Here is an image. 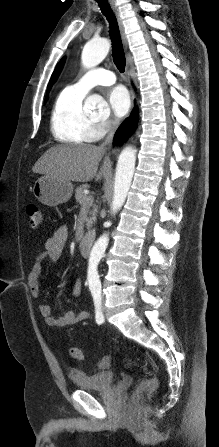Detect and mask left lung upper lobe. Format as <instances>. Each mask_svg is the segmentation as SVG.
<instances>
[{
    "mask_svg": "<svg viewBox=\"0 0 219 447\" xmlns=\"http://www.w3.org/2000/svg\"><path fill=\"white\" fill-rule=\"evenodd\" d=\"M63 63H64V59L58 64V66H57L56 69L54 70V72H53V74H52V76H51V80H50V82H49L48 89H50V86L54 83V81H55L56 78L58 77V75H59V73H60V71H61V69H62Z\"/></svg>",
    "mask_w": 219,
    "mask_h": 447,
    "instance_id": "left-lung-upper-lobe-1",
    "label": "left lung upper lobe"
}]
</instances>
